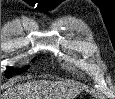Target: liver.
<instances>
[{
    "label": "liver",
    "instance_id": "6515ba94",
    "mask_svg": "<svg viewBox=\"0 0 115 99\" xmlns=\"http://www.w3.org/2000/svg\"><path fill=\"white\" fill-rule=\"evenodd\" d=\"M66 85L60 82L30 81L6 90L1 99H62Z\"/></svg>",
    "mask_w": 115,
    "mask_h": 99
}]
</instances>
